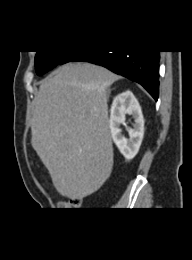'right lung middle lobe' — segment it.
Returning <instances> with one entry per match:
<instances>
[{
	"label": "right lung middle lobe",
	"mask_w": 192,
	"mask_h": 260,
	"mask_svg": "<svg viewBox=\"0 0 192 260\" xmlns=\"http://www.w3.org/2000/svg\"><path fill=\"white\" fill-rule=\"evenodd\" d=\"M69 51H37L35 56V70L38 75H42L61 64Z\"/></svg>",
	"instance_id": "dd1d6c3e"
}]
</instances>
